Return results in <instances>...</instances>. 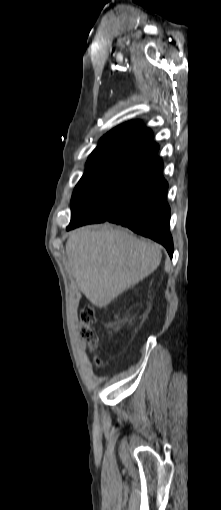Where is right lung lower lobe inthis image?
<instances>
[{
    "mask_svg": "<svg viewBox=\"0 0 221 510\" xmlns=\"http://www.w3.org/2000/svg\"><path fill=\"white\" fill-rule=\"evenodd\" d=\"M163 163L155 153L143 166L121 206L111 214H90L86 204L72 210L67 230L88 223L112 222L161 243L173 255L170 234V207L166 201L168 184L162 176Z\"/></svg>",
    "mask_w": 221,
    "mask_h": 510,
    "instance_id": "obj_1",
    "label": "right lung lower lobe"
}]
</instances>
